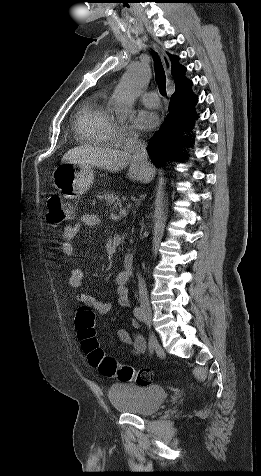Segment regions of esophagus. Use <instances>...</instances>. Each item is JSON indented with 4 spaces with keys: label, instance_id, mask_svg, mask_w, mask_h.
Listing matches in <instances>:
<instances>
[{
    "label": "esophagus",
    "instance_id": "1",
    "mask_svg": "<svg viewBox=\"0 0 261 476\" xmlns=\"http://www.w3.org/2000/svg\"><path fill=\"white\" fill-rule=\"evenodd\" d=\"M154 48L159 53L160 58L162 60L164 68H165L166 75L168 76L170 74V71H171V62L169 60V57L167 56L166 53H164L162 50H160L159 47L154 45Z\"/></svg>",
    "mask_w": 261,
    "mask_h": 476
}]
</instances>
